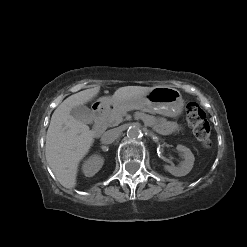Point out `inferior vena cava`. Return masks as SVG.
Segmentation results:
<instances>
[{"label": "inferior vena cava", "mask_w": 247, "mask_h": 247, "mask_svg": "<svg viewBox=\"0 0 247 247\" xmlns=\"http://www.w3.org/2000/svg\"><path fill=\"white\" fill-rule=\"evenodd\" d=\"M120 134H121L120 129L118 128L110 129L102 135L101 142L103 144H111L119 137Z\"/></svg>", "instance_id": "1"}]
</instances>
